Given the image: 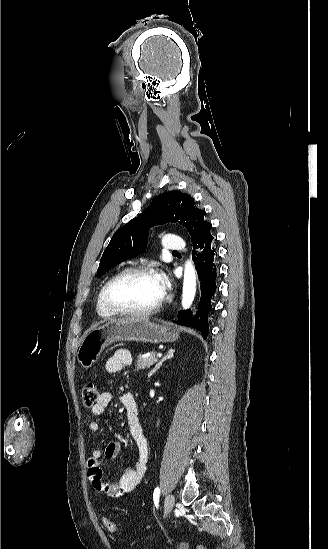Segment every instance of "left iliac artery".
I'll use <instances>...</instances> for the list:
<instances>
[{"label":"left iliac artery","instance_id":"44dca946","mask_svg":"<svg viewBox=\"0 0 328 549\" xmlns=\"http://www.w3.org/2000/svg\"><path fill=\"white\" fill-rule=\"evenodd\" d=\"M159 495H160V489L157 487V488L154 490V493H153V500H154V503H155V506H156V507H158Z\"/></svg>","mask_w":328,"mask_h":549}]
</instances>
